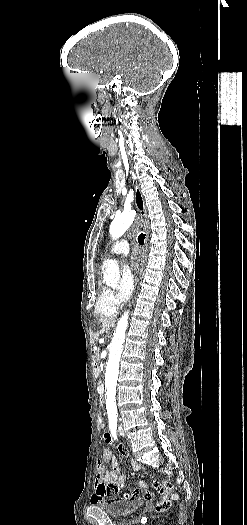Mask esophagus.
Listing matches in <instances>:
<instances>
[{"instance_id":"obj_1","label":"esophagus","mask_w":247,"mask_h":525,"mask_svg":"<svg viewBox=\"0 0 247 525\" xmlns=\"http://www.w3.org/2000/svg\"><path fill=\"white\" fill-rule=\"evenodd\" d=\"M134 189H135V194H134L135 204L140 213V218H141V221L143 222L144 230L146 234H148V225L146 223V210H145V202L143 199V195L141 193L139 185L136 184ZM147 248H148V237L145 242V249Z\"/></svg>"}]
</instances>
